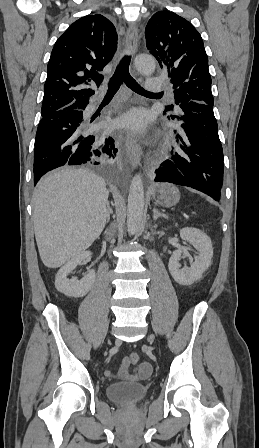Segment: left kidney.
Listing matches in <instances>:
<instances>
[{"mask_svg": "<svg viewBox=\"0 0 259 448\" xmlns=\"http://www.w3.org/2000/svg\"><path fill=\"white\" fill-rule=\"evenodd\" d=\"M180 236L182 240H187L198 250L199 256H195V262L191 264V268L180 270L179 260L182 256V250H175L169 260L168 268L177 284L191 286V284L200 280L202 274L208 270L211 264L213 258L212 242L204 232L196 230V228H182Z\"/></svg>", "mask_w": 259, "mask_h": 448, "instance_id": "1", "label": "left kidney"}]
</instances>
